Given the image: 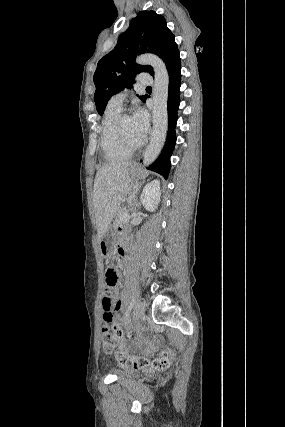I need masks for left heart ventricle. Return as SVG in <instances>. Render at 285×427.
Instances as JSON below:
<instances>
[{
    "instance_id": "1",
    "label": "left heart ventricle",
    "mask_w": 285,
    "mask_h": 427,
    "mask_svg": "<svg viewBox=\"0 0 285 427\" xmlns=\"http://www.w3.org/2000/svg\"><path fill=\"white\" fill-rule=\"evenodd\" d=\"M123 130L124 133L126 135V137L128 138V140L132 143H138L141 141V139L139 138L136 129H135V125L133 122V118L132 116H127L124 121H123Z\"/></svg>"
}]
</instances>
